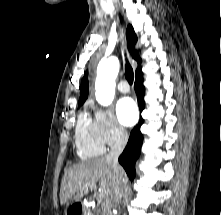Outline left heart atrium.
<instances>
[{"label": "left heart atrium", "instance_id": "1", "mask_svg": "<svg viewBox=\"0 0 221 215\" xmlns=\"http://www.w3.org/2000/svg\"><path fill=\"white\" fill-rule=\"evenodd\" d=\"M117 116L124 126H132L138 119V110L135 102L131 98H123L117 104Z\"/></svg>", "mask_w": 221, "mask_h": 215}]
</instances>
